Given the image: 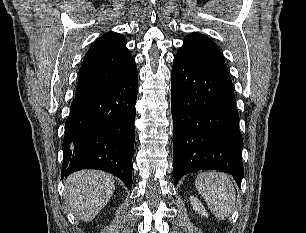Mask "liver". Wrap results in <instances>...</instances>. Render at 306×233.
<instances>
[{"instance_id":"1","label":"liver","mask_w":306,"mask_h":233,"mask_svg":"<svg viewBox=\"0 0 306 233\" xmlns=\"http://www.w3.org/2000/svg\"><path fill=\"white\" fill-rule=\"evenodd\" d=\"M114 190V177L102 171L82 170L66 180V200L75 215L84 222L96 217Z\"/></svg>"}]
</instances>
